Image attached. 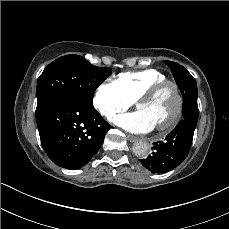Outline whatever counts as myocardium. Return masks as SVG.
I'll list each match as a JSON object with an SVG mask.
<instances>
[{
  "label": "myocardium",
  "mask_w": 229,
  "mask_h": 229,
  "mask_svg": "<svg viewBox=\"0 0 229 229\" xmlns=\"http://www.w3.org/2000/svg\"><path fill=\"white\" fill-rule=\"evenodd\" d=\"M172 85L175 88L172 89V101L174 106L171 110V114L167 120L168 125L163 127H155L161 134L171 132L182 120L185 115L187 101L180 85L174 80H165L155 86L151 87L146 93L138 99L137 106L143 102H151L156 96L167 86Z\"/></svg>",
  "instance_id": "1"
}]
</instances>
